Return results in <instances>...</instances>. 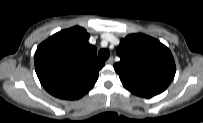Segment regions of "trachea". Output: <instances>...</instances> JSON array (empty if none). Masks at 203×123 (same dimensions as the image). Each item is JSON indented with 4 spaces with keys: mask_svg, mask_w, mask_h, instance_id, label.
<instances>
[{
    "mask_svg": "<svg viewBox=\"0 0 203 123\" xmlns=\"http://www.w3.org/2000/svg\"><path fill=\"white\" fill-rule=\"evenodd\" d=\"M110 52L108 49H101L98 53L99 59L105 61L109 58Z\"/></svg>",
    "mask_w": 203,
    "mask_h": 123,
    "instance_id": "obj_1",
    "label": "trachea"
}]
</instances>
